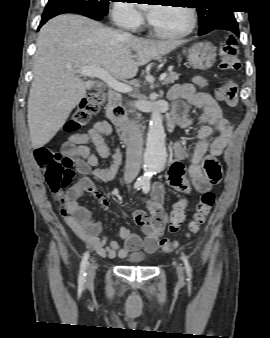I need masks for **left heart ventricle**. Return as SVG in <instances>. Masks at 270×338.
<instances>
[{"mask_svg":"<svg viewBox=\"0 0 270 338\" xmlns=\"http://www.w3.org/2000/svg\"><path fill=\"white\" fill-rule=\"evenodd\" d=\"M152 22L161 32L178 33L186 30L191 22L189 10L185 7L160 6L153 8Z\"/></svg>","mask_w":270,"mask_h":338,"instance_id":"1","label":"left heart ventricle"}]
</instances>
